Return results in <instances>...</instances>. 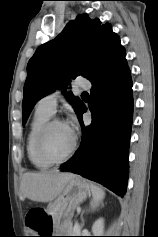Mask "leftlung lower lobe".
<instances>
[{
    "label": "left lung lower lobe",
    "mask_w": 158,
    "mask_h": 237,
    "mask_svg": "<svg viewBox=\"0 0 158 237\" xmlns=\"http://www.w3.org/2000/svg\"><path fill=\"white\" fill-rule=\"evenodd\" d=\"M89 110L92 122L87 127L81 117L86 106L83 104L79 111L81 145L73 158L61 165V171L96 181L122 197L127 187L133 114L132 80L126 59L92 83Z\"/></svg>",
    "instance_id": "obj_1"
}]
</instances>
